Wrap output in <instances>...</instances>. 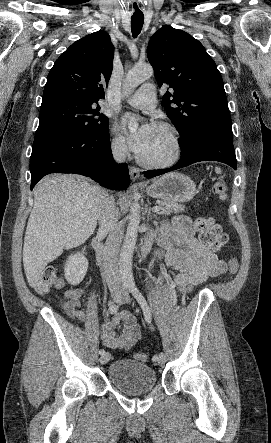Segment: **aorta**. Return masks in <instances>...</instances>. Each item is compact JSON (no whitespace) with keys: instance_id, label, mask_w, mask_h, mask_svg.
I'll list each match as a JSON object with an SVG mask.
<instances>
[{"instance_id":"762f6f07","label":"aorta","mask_w":271,"mask_h":443,"mask_svg":"<svg viewBox=\"0 0 271 443\" xmlns=\"http://www.w3.org/2000/svg\"><path fill=\"white\" fill-rule=\"evenodd\" d=\"M154 76V70L150 64H144V66H135L129 70L126 80L123 86V94L128 96L131 92H134L137 86H140L142 82L152 78ZM129 130H137L138 124L136 122H129ZM129 223L127 225L125 239L120 251L119 259V271L122 281H128V283H134V277L132 273V257L137 241L138 227L141 220L140 206L135 202L130 206V214H128Z\"/></svg>"}]
</instances>
